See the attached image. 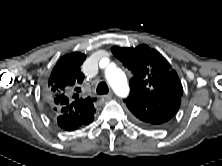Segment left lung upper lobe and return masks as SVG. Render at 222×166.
I'll list each match as a JSON object with an SVG mask.
<instances>
[{
    "mask_svg": "<svg viewBox=\"0 0 222 166\" xmlns=\"http://www.w3.org/2000/svg\"><path fill=\"white\" fill-rule=\"evenodd\" d=\"M111 51L134 74L130 80L131 91L125 102L130 96L148 99L170 94L182 96L183 87L177 73L158 51L147 45L136 48L115 46Z\"/></svg>",
    "mask_w": 222,
    "mask_h": 166,
    "instance_id": "obj_1",
    "label": "left lung upper lobe"
}]
</instances>
